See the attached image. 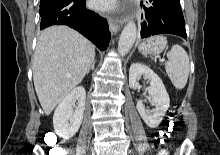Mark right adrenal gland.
Segmentation results:
<instances>
[{"label": "right adrenal gland", "mask_w": 220, "mask_h": 155, "mask_svg": "<svg viewBox=\"0 0 220 155\" xmlns=\"http://www.w3.org/2000/svg\"><path fill=\"white\" fill-rule=\"evenodd\" d=\"M95 68V60L92 62L91 66L89 67V69L87 70V73L88 74L90 72V70H94Z\"/></svg>", "instance_id": "1"}]
</instances>
